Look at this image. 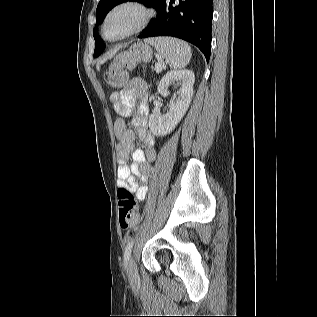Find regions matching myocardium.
<instances>
[{"mask_svg":"<svg viewBox=\"0 0 317 317\" xmlns=\"http://www.w3.org/2000/svg\"><path fill=\"white\" fill-rule=\"evenodd\" d=\"M125 8H131L139 13V18L135 22V24L126 32L123 34L114 37V38H109L106 35V25L109 19L119 10L125 9ZM153 17V11L143 2L139 0H122L118 3H116L114 6H112L106 13L103 22H102V36L105 40L109 42H115V41H120L125 38H128L132 35H135L139 32H141L145 27L149 24L150 20Z\"/></svg>","mask_w":317,"mask_h":317,"instance_id":"f54148a6","label":"myocardium"}]
</instances>
